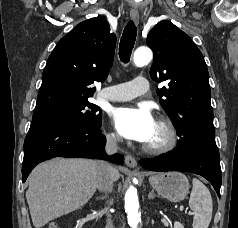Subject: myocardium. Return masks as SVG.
I'll return each instance as SVG.
<instances>
[{
    "label": "myocardium",
    "instance_id": "myocardium-1",
    "mask_svg": "<svg viewBox=\"0 0 238 228\" xmlns=\"http://www.w3.org/2000/svg\"><path fill=\"white\" fill-rule=\"evenodd\" d=\"M156 124L164 132V141L158 145H148L145 143L142 146L144 152L152 155H160L173 150L178 141L177 131L171 120L165 117H160L158 118Z\"/></svg>",
    "mask_w": 238,
    "mask_h": 228
}]
</instances>
